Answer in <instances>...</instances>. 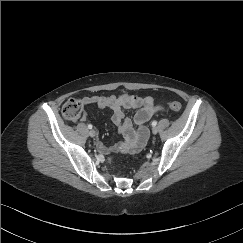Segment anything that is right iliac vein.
Masks as SVG:
<instances>
[{
    "instance_id": "obj_1",
    "label": "right iliac vein",
    "mask_w": 243,
    "mask_h": 243,
    "mask_svg": "<svg viewBox=\"0 0 243 243\" xmlns=\"http://www.w3.org/2000/svg\"><path fill=\"white\" fill-rule=\"evenodd\" d=\"M96 135L95 130H90L89 131V136L94 137Z\"/></svg>"
}]
</instances>
